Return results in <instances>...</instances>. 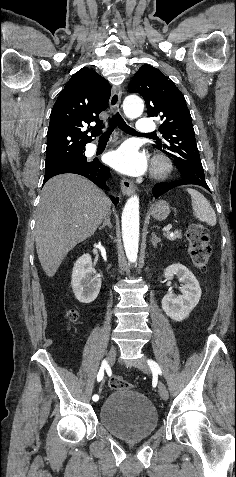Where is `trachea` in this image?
<instances>
[{
  "label": "trachea",
  "instance_id": "obj_1",
  "mask_svg": "<svg viewBox=\"0 0 236 477\" xmlns=\"http://www.w3.org/2000/svg\"><path fill=\"white\" fill-rule=\"evenodd\" d=\"M118 126L122 131L129 133V134H140L136 132L133 128L128 126L121 115L117 112L116 114L112 115V117L108 120V128L106 131L101 135V138H109L113 130Z\"/></svg>",
  "mask_w": 236,
  "mask_h": 477
}]
</instances>
